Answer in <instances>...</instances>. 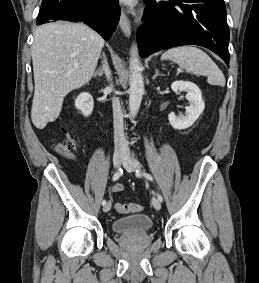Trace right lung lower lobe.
<instances>
[{"instance_id": "1", "label": "right lung lower lobe", "mask_w": 259, "mask_h": 283, "mask_svg": "<svg viewBox=\"0 0 259 283\" xmlns=\"http://www.w3.org/2000/svg\"><path fill=\"white\" fill-rule=\"evenodd\" d=\"M119 19L117 0H43L36 23L82 21L107 41L116 30Z\"/></svg>"}]
</instances>
